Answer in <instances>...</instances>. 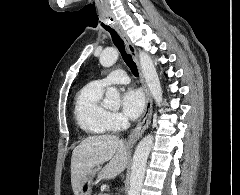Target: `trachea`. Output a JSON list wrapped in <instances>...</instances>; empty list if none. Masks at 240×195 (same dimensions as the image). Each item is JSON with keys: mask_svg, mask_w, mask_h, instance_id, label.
<instances>
[{"mask_svg": "<svg viewBox=\"0 0 240 195\" xmlns=\"http://www.w3.org/2000/svg\"><path fill=\"white\" fill-rule=\"evenodd\" d=\"M104 28H105V30L109 31L114 45L118 48L124 62L128 65V67L132 71L133 75H135V77H138L139 72L137 70V65H136V63H134L130 53L126 52L124 41L122 40V38H120L118 33L115 30H113V28H110L108 26H105Z\"/></svg>", "mask_w": 240, "mask_h": 195, "instance_id": "obj_1", "label": "trachea"}]
</instances>
